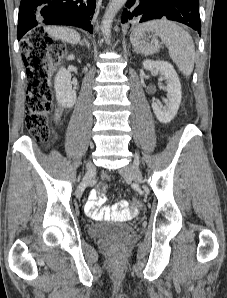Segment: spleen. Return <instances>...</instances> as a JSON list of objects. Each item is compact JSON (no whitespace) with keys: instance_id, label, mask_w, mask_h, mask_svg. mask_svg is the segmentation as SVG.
Instances as JSON below:
<instances>
[{"instance_id":"obj_1","label":"spleen","mask_w":227,"mask_h":298,"mask_svg":"<svg viewBox=\"0 0 227 298\" xmlns=\"http://www.w3.org/2000/svg\"><path fill=\"white\" fill-rule=\"evenodd\" d=\"M146 31H152L159 36L179 70L186 76L191 75L195 61V46L186 30L166 19L153 20L137 26L130 35V41L137 52L150 55L158 52L159 47L140 40Z\"/></svg>"}]
</instances>
